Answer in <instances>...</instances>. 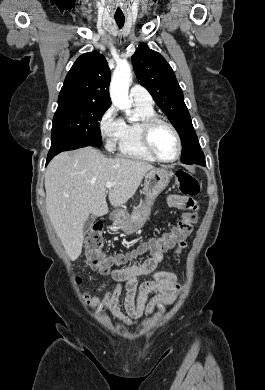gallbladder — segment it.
Here are the masks:
<instances>
[{
  "label": "gallbladder",
  "mask_w": 265,
  "mask_h": 390,
  "mask_svg": "<svg viewBox=\"0 0 265 390\" xmlns=\"http://www.w3.org/2000/svg\"><path fill=\"white\" fill-rule=\"evenodd\" d=\"M95 221V216L94 215H89L88 218L85 221L84 227H83V232L88 233L91 230V227Z\"/></svg>",
  "instance_id": "gallbladder-1"
}]
</instances>
